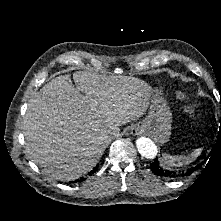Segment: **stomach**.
<instances>
[{
  "instance_id": "0dacf381",
  "label": "stomach",
  "mask_w": 221,
  "mask_h": 221,
  "mask_svg": "<svg viewBox=\"0 0 221 221\" xmlns=\"http://www.w3.org/2000/svg\"><path fill=\"white\" fill-rule=\"evenodd\" d=\"M172 113L163 97L158 93L152 96L149 113L139 122L145 132L152 135L161 144L166 143L171 135Z\"/></svg>"
}]
</instances>
